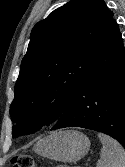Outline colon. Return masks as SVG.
Masks as SVG:
<instances>
[{
  "mask_svg": "<svg viewBox=\"0 0 125 167\" xmlns=\"http://www.w3.org/2000/svg\"><path fill=\"white\" fill-rule=\"evenodd\" d=\"M11 160L13 167H35V161L29 154H17Z\"/></svg>",
  "mask_w": 125,
  "mask_h": 167,
  "instance_id": "1",
  "label": "colon"
}]
</instances>
